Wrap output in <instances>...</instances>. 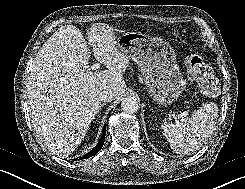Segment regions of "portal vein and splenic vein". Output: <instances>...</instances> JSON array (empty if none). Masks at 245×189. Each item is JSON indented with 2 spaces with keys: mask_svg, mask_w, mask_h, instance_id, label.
I'll use <instances>...</instances> for the list:
<instances>
[{
  "mask_svg": "<svg viewBox=\"0 0 245 189\" xmlns=\"http://www.w3.org/2000/svg\"><path fill=\"white\" fill-rule=\"evenodd\" d=\"M98 68H100V64H99V63H95V64H93V65L91 66V70H92V71H95V70H97Z\"/></svg>",
  "mask_w": 245,
  "mask_h": 189,
  "instance_id": "1",
  "label": "portal vein and splenic vein"
}]
</instances>
